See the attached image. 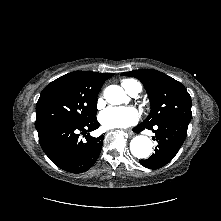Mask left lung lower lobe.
<instances>
[{
    "label": "left lung lower lobe",
    "mask_w": 221,
    "mask_h": 221,
    "mask_svg": "<svg viewBox=\"0 0 221 221\" xmlns=\"http://www.w3.org/2000/svg\"><path fill=\"white\" fill-rule=\"evenodd\" d=\"M189 122L172 120L155 126L139 124L133 131L136 133L144 129L152 130L158 142L155 153L140 164L149 169H158L168 164L178 153L187 135ZM154 139V138H153Z\"/></svg>",
    "instance_id": "left-lung-lower-lobe-1"
}]
</instances>
